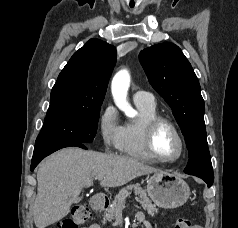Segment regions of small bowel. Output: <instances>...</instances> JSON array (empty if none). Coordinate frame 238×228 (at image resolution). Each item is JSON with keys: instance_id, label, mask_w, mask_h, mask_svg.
I'll return each mask as SVG.
<instances>
[{"instance_id": "c3829d8e", "label": "small bowel", "mask_w": 238, "mask_h": 228, "mask_svg": "<svg viewBox=\"0 0 238 228\" xmlns=\"http://www.w3.org/2000/svg\"><path fill=\"white\" fill-rule=\"evenodd\" d=\"M137 219L138 221L143 222L146 228H152V225L150 224L149 221L145 220V217L142 213L137 214ZM87 228H100V226L96 223H93L89 225Z\"/></svg>"}]
</instances>
